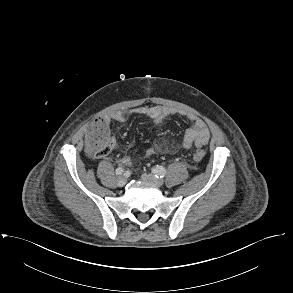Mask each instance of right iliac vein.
<instances>
[{
    "instance_id": "obj_1",
    "label": "right iliac vein",
    "mask_w": 293,
    "mask_h": 293,
    "mask_svg": "<svg viewBox=\"0 0 293 293\" xmlns=\"http://www.w3.org/2000/svg\"><path fill=\"white\" fill-rule=\"evenodd\" d=\"M127 183V178L125 176H119L117 178V184L120 187H123Z\"/></svg>"
}]
</instances>
